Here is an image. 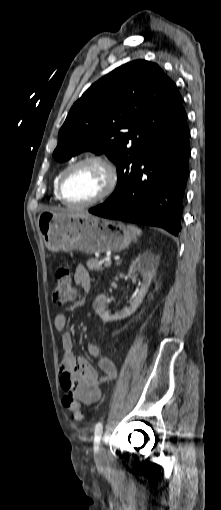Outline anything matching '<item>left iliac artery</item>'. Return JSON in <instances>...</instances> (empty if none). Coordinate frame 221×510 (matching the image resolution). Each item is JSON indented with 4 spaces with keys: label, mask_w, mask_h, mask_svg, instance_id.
<instances>
[{
    "label": "left iliac artery",
    "mask_w": 221,
    "mask_h": 510,
    "mask_svg": "<svg viewBox=\"0 0 221 510\" xmlns=\"http://www.w3.org/2000/svg\"><path fill=\"white\" fill-rule=\"evenodd\" d=\"M102 432H103V424H102V422H98L95 425V438H94V443H95L94 448L95 449H96V444H98L100 442Z\"/></svg>",
    "instance_id": "1"
}]
</instances>
